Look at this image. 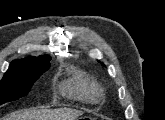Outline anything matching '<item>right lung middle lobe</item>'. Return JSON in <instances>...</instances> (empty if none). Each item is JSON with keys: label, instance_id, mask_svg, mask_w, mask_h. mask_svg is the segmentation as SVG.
I'll return each mask as SVG.
<instances>
[{"label": "right lung middle lobe", "instance_id": "right-lung-middle-lobe-1", "mask_svg": "<svg viewBox=\"0 0 165 120\" xmlns=\"http://www.w3.org/2000/svg\"><path fill=\"white\" fill-rule=\"evenodd\" d=\"M49 67L50 64H23L9 67L0 82V105L26 96L33 83Z\"/></svg>", "mask_w": 165, "mask_h": 120}]
</instances>
